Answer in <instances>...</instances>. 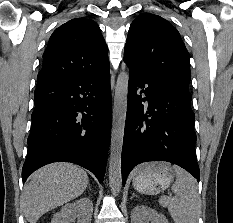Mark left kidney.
Masks as SVG:
<instances>
[{
    "label": "left kidney",
    "instance_id": "obj_1",
    "mask_svg": "<svg viewBox=\"0 0 233 223\" xmlns=\"http://www.w3.org/2000/svg\"><path fill=\"white\" fill-rule=\"evenodd\" d=\"M169 223L163 213H158L156 209L148 205H136L131 211V223Z\"/></svg>",
    "mask_w": 233,
    "mask_h": 223
}]
</instances>
